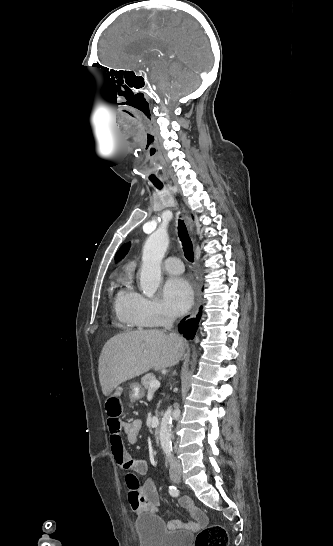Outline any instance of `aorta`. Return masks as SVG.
I'll return each instance as SVG.
<instances>
[{
	"label": "aorta",
	"instance_id": "762f6f07",
	"mask_svg": "<svg viewBox=\"0 0 333 546\" xmlns=\"http://www.w3.org/2000/svg\"><path fill=\"white\" fill-rule=\"evenodd\" d=\"M169 245L166 230L158 229L152 233L145 242L142 254V266L140 273V287L148 297H153L161 280V263ZM172 407H168L163 415L159 438L161 449L165 454L172 451L171 428Z\"/></svg>",
	"mask_w": 333,
	"mask_h": 546
}]
</instances>
